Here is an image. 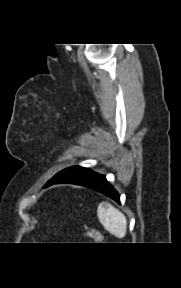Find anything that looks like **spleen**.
<instances>
[{"label":"spleen","instance_id":"spleen-1","mask_svg":"<svg viewBox=\"0 0 181 288\" xmlns=\"http://www.w3.org/2000/svg\"><path fill=\"white\" fill-rule=\"evenodd\" d=\"M97 215L104 228L118 238L126 235L127 220L125 215L107 202L98 205Z\"/></svg>","mask_w":181,"mask_h":288}]
</instances>
